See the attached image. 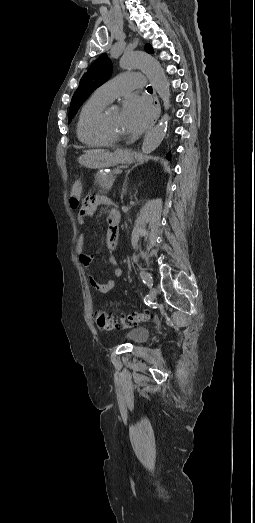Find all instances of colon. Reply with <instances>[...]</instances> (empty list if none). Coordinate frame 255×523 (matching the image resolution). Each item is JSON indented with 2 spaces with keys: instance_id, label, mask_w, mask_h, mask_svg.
Here are the masks:
<instances>
[{
  "instance_id": "colon-1",
  "label": "colon",
  "mask_w": 255,
  "mask_h": 523,
  "mask_svg": "<svg viewBox=\"0 0 255 523\" xmlns=\"http://www.w3.org/2000/svg\"><path fill=\"white\" fill-rule=\"evenodd\" d=\"M84 194V182L81 178L77 177L73 180L70 189V204L72 207H79L83 200ZM150 319V315L146 312L143 313H132L125 317H122L120 320H117L115 317L111 316L104 310L97 311L95 315V320L99 328L103 330H113L119 323L122 324H138Z\"/></svg>"
}]
</instances>
